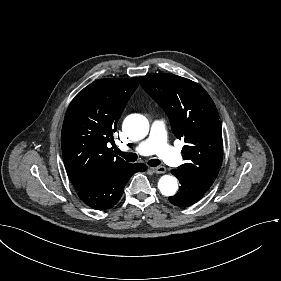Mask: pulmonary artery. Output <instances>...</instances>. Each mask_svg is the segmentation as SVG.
<instances>
[{"mask_svg":"<svg viewBox=\"0 0 281 281\" xmlns=\"http://www.w3.org/2000/svg\"><path fill=\"white\" fill-rule=\"evenodd\" d=\"M132 151L135 155H141L144 158L149 157L151 154L161 155L164 160L175 168L181 167L184 163L183 158L174 150L171 142L167 139L165 125L162 122H155L152 125V135L143 144H135Z\"/></svg>","mask_w":281,"mask_h":281,"instance_id":"pulmonary-artery-1","label":"pulmonary artery"}]
</instances>
